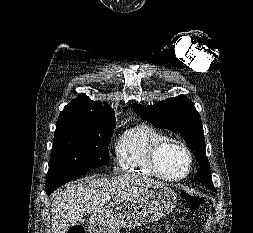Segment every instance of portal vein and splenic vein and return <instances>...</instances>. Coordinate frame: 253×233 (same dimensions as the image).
I'll return each mask as SVG.
<instances>
[{
	"label": "portal vein and splenic vein",
	"instance_id": "1",
	"mask_svg": "<svg viewBox=\"0 0 253 233\" xmlns=\"http://www.w3.org/2000/svg\"><path fill=\"white\" fill-rule=\"evenodd\" d=\"M111 199V196H106L105 201H109Z\"/></svg>",
	"mask_w": 253,
	"mask_h": 233
}]
</instances>
